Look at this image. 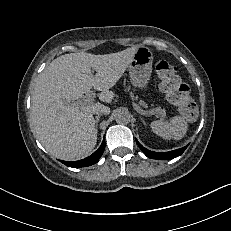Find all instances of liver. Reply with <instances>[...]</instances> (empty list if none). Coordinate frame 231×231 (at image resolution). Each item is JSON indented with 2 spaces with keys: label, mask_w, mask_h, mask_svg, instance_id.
<instances>
[{
  "label": "liver",
  "mask_w": 231,
  "mask_h": 231,
  "mask_svg": "<svg viewBox=\"0 0 231 231\" xmlns=\"http://www.w3.org/2000/svg\"><path fill=\"white\" fill-rule=\"evenodd\" d=\"M137 49L133 46L105 55L64 54L41 72L32 94L31 124L49 154L76 160L91 153L97 142L93 111L103 105L73 103L92 87L102 91L101 101L110 103L114 93L109 89L122 77ZM91 69L96 71L95 76Z\"/></svg>",
  "instance_id": "1"
}]
</instances>
